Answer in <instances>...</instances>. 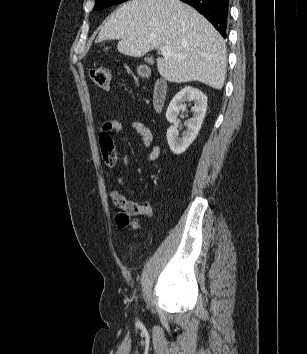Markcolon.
I'll use <instances>...</instances> for the list:
<instances>
[{"label": "colon", "mask_w": 307, "mask_h": 354, "mask_svg": "<svg viewBox=\"0 0 307 354\" xmlns=\"http://www.w3.org/2000/svg\"><path fill=\"white\" fill-rule=\"evenodd\" d=\"M90 77L94 84L99 88L107 90L110 87V71L106 67H97L90 71ZM122 209L117 215V223L121 227L131 226L137 229L141 226L142 217H148L152 214V208L147 203H142L135 207H126L124 205H119ZM131 216H136L131 220Z\"/></svg>", "instance_id": "5ec220e1"}]
</instances>
